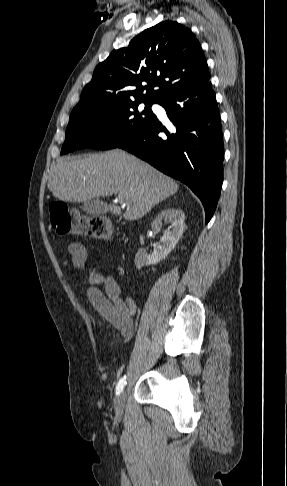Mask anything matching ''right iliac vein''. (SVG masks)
<instances>
[{
	"label": "right iliac vein",
	"mask_w": 287,
	"mask_h": 486,
	"mask_svg": "<svg viewBox=\"0 0 287 486\" xmlns=\"http://www.w3.org/2000/svg\"><path fill=\"white\" fill-rule=\"evenodd\" d=\"M124 398H125V392L121 391L120 394L118 395V398L115 402V407L116 411L118 413H122L124 409Z\"/></svg>",
	"instance_id": "63e3f726"
}]
</instances>
